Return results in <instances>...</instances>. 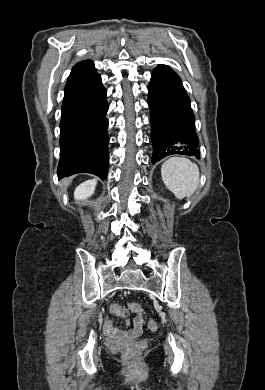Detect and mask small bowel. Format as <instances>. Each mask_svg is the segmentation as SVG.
Here are the masks:
<instances>
[{"mask_svg":"<svg viewBox=\"0 0 265 390\" xmlns=\"http://www.w3.org/2000/svg\"><path fill=\"white\" fill-rule=\"evenodd\" d=\"M144 325V320L141 316H137L133 320V327L131 329H119L117 328L112 321L106 320L104 323V329L106 333L110 335H118L125 338H135L138 337L142 333Z\"/></svg>","mask_w":265,"mask_h":390,"instance_id":"small-bowel-1","label":"small bowel"}]
</instances>
